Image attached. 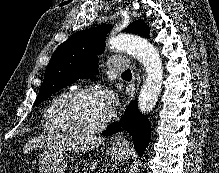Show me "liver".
Masks as SVG:
<instances>
[{
  "label": "liver",
  "mask_w": 219,
  "mask_h": 173,
  "mask_svg": "<svg viewBox=\"0 0 219 173\" xmlns=\"http://www.w3.org/2000/svg\"><path fill=\"white\" fill-rule=\"evenodd\" d=\"M104 142V138L96 136L87 137H69L56 139L50 136H38L31 139L24 146V153L32 150L33 148H61L69 151H87L92 150Z\"/></svg>",
  "instance_id": "liver-1"
}]
</instances>
